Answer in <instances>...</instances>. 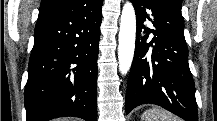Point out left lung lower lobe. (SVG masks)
I'll use <instances>...</instances> for the list:
<instances>
[{
	"label": "left lung lower lobe",
	"instance_id": "left-lung-lower-lobe-1",
	"mask_svg": "<svg viewBox=\"0 0 217 121\" xmlns=\"http://www.w3.org/2000/svg\"><path fill=\"white\" fill-rule=\"evenodd\" d=\"M136 12L135 54L126 93V114L156 104L186 121H198L181 11L168 0H131ZM149 20L154 29L144 25ZM153 33L139 39L140 32Z\"/></svg>",
	"mask_w": 217,
	"mask_h": 121
}]
</instances>
